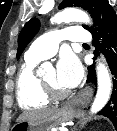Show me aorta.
I'll return each mask as SVG.
<instances>
[{"label":"aorta","mask_w":117,"mask_h":131,"mask_svg":"<svg viewBox=\"0 0 117 131\" xmlns=\"http://www.w3.org/2000/svg\"><path fill=\"white\" fill-rule=\"evenodd\" d=\"M68 22H80L91 24V19L87 13L77 8H67L57 13L51 23L60 24ZM98 89L95 99L90 108L91 113L100 111L109 101L111 95L112 82L107 67L103 63H98L97 68Z\"/></svg>","instance_id":"aorta-1"}]
</instances>
